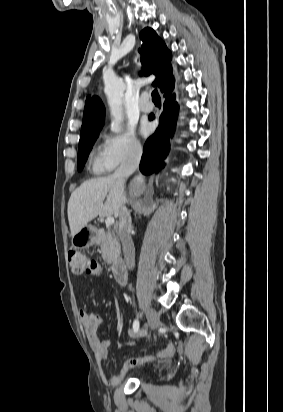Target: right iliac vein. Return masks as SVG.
I'll return each mask as SVG.
<instances>
[{"label":"right iliac vein","instance_id":"63e3f726","mask_svg":"<svg viewBox=\"0 0 283 412\" xmlns=\"http://www.w3.org/2000/svg\"><path fill=\"white\" fill-rule=\"evenodd\" d=\"M147 316H148L150 329L152 331L156 330L159 327V324H160L158 313L154 309L148 307L147 308Z\"/></svg>","mask_w":283,"mask_h":412}]
</instances>
